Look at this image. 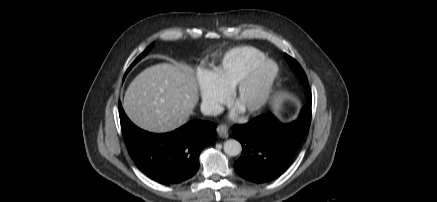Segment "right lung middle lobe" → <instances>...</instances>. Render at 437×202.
Instances as JSON below:
<instances>
[{"label":"right lung middle lobe","instance_id":"1","mask_svg":"<svg viewBox=\"0 0 437 202\" xmlns=\"http://www.w3.org/2000/svg\"><path fill=\"white\" fill-rule=\"evenodd\" d=\"M154 43H152L139 57H137V59L131 64V66L129 67V69L127 70V72L139 61L141 60L143 57H145L148 52L153 48ZM126 72V73H127Z\"/></svg>","mask_w":437,"mask_h":202}]
</instances>
